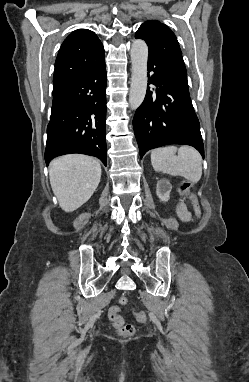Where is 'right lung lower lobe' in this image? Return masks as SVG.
<instances>
[{
    "label": "right lung lower lobe",
    "mask_w": 249,
    "mask_h": 382,
    "mask_svg": "<svg viewBox=\"0 0 249 382\" xmlns=\"http://www.w3.org/2000/svg\"><path fill=\"white\" fill-rule=\"evenodd\" d=\"M105 56L61 92L53 95L47 127L46 164L55 157L80 153L106 165Z\"/></svg>",
    "instance_id": "obj_1"
}]
</instances>
